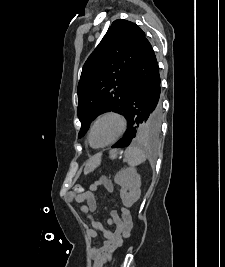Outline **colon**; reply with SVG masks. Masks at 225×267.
Masks as SVG:
<instances>
[{
	"label": "colon",
	"mask_w": 225,
	"mask_h": 267,
	"mask_svg": "<svg viewBox=\"0 0 225 267\" xmlns=\"http://www.w3.org/2000/svg\"><path fill=\"white\" fill-rule=\"evenodd\" d=\"M73 191L75 194H82L84 191V188L81 184H78L73 188Z\"/></svg>",
	"instance_id": "5ec220e1"
}]
</instances>
